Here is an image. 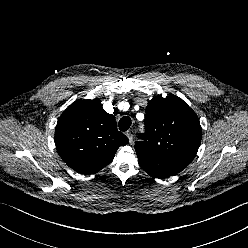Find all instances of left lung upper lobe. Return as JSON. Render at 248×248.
<instances>
[{
    "mask_svg": "<svg viewBox=\"0 0 248 248\" xmlns=\"http://www.w3.org/2000/svg\"><path fill=\"white\" fill-rule=\"evenodd\" d=\"M144 134L135 150L140 166L150 176L165 178L185 169L201 143L196 113L179 97L157 95L146 108Z\"/></svg>",
    "mask_w": 248,
    "mask_h": 248,
    "instance_id": "obj_1",
    "label": "left lung upper lobe"
}]
</instances>
